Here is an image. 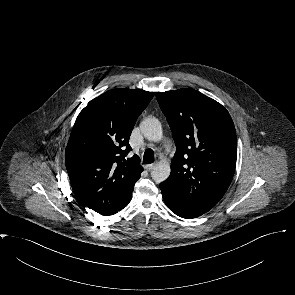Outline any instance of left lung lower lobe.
Instances as JSON below:
<instances>
[{"instance_id": "obj_1", "label": "left lung lower lobe", "mask_w": 295, "mask_h": 295, "mask_svg": "<svg viewBox=\"0 0 295 295\" xmlns=\"http://www.w3.org/2000/svg\"><path fill=\"white\" fill-rule=\"evenodd\" d=\"M160 189L162 191V196L165 204L176 215L188 219L195 218L198 216L190 212L183 204H181L178 196L172 190H170L165 184L160 183Z\"/></svg>"}]
</instances>
